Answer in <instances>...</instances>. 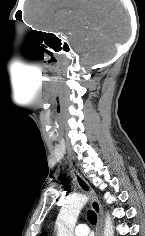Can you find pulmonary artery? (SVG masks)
<instances>
[{"mask_svg":"<svg viewBox=\"0 0 145 236\" xmlns=\"http://www.w3.org/2000/svg\"><path fill=\"white\" fill-rule=\"evenodd\" d=\"M89 228L86 224H79L76 226L74 233L75 236H87Z\"/></svg>","mask_w":145,"mask_h":236,"instance_id":"e3ab8cb5","label":"pulmonary artery"}]
</instances>
